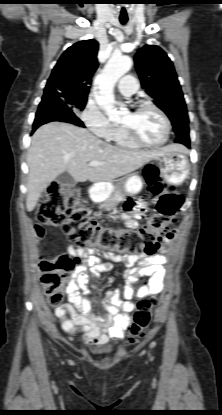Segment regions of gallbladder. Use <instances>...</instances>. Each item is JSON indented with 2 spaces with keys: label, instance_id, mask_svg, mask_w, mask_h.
Returning a JSON list of instances; mask_svg holds the SVG:
<instances>
[{
  "label": "gallbladder",
  "instance_id": "bac80fb5",
  "mask_svg": "<svg viewBox=\"0 0 222 415\" xmlns=\"http://www.w3.org/2000/svg\"><path fill=\"white\" fill-rule=\"evenodd\" d=\"M56 182L63 186H75L76 185V181L68 172H63L60 175H58L56 178Z\"/></svg>",
  "mask_w": 222,
  "mask_h": 415
}]
</instances>
